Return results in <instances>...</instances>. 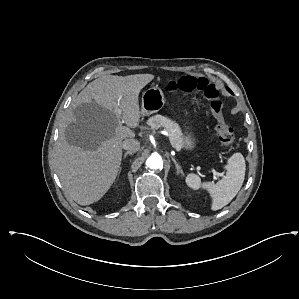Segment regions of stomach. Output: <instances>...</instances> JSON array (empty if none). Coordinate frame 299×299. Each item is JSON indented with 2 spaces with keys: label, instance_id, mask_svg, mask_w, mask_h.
Returning <instances> with one entry per match:
<instances>
[{
  "label": "stomach",
  "instance_id": "1",
  "mask_svg": "<svg viewBox=\"0 0 299 299\" xmlns=\"http://www.w3.org/2000/svg\"><path fill=\"white\" fill-rule=\"evenodd\" d=\"M165 104L163 91L158 86H152L142 94L141 115L148 116L158 112ZM183 147L192 150L195 147V138L192 133L183 138Z\"/></svg>",
  "mask_w": 299,
  "mask_h": 299
}]
</instances>
